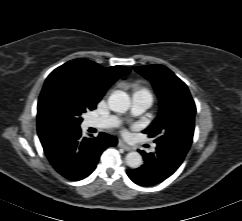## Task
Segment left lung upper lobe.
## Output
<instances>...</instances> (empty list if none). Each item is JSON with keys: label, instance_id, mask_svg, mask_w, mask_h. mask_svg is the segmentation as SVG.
I'll return each instance as SVG.
<instances>
[{"label": "left lung upper lobe", "instance_id": "obj_1", "mask_svg": "<svg viewBox=\"0 0 242 221\" xmlns=\"http://www.w3.org/2000/svg\"><path fill=\"white\" fill-rule=\"evenodd\" d=\"M134 69L152 82L160 102L157 118L144 133L154 137L156 144L177 146L187 152L193 140L196 107L186 84L163 65Z\"/></svg>", "mask_w": 242, "mask_h": 221}]
</instances>
